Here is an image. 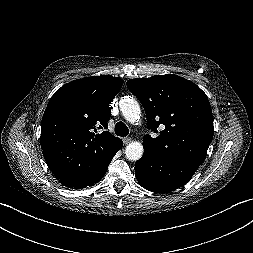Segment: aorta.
<instances>
[{"label": "aorta", "mask_w": 253, "mask_h": 253, "mask_svg": "<svg viewBox=\"0 0 253 253\" xmlns=\"http://www.w3.org/2000/svg\"><path fill=\"white\" fill-rule=\"evenodd\" d=\"M120 110L124 118L130 122H138L141 116V109L138 102L131 96H125L119 101ZM143 145L141 142L132 141L126 146L125 156L128 160L136 161L143 155Z\"/></svg>", "instance_id": "aorta-1"}]
</instances>
